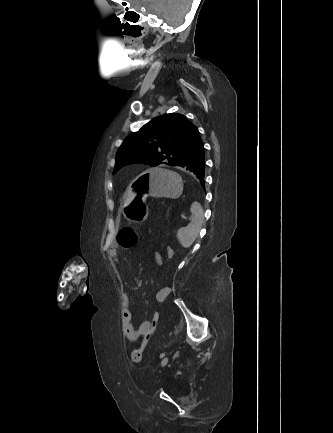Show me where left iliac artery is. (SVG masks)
Returning a JSON list of instances; mask_svg holds the SVG:
<instances>
[{
  "mask_svg": "<svg viewBox=\"0 0 333 433\" xmlns=\"http://www.w3.org/2000/svg\"><path fill=\"white\" fill-rule=\"evenodd\" d=\"M164 356V353H162L161 355H160V357L162 358Z\"/></svg>",
  "mask_w": 333,
  "mask_h": 433,
  "instance_id": "1",
  "label": "left iliac artery"
}]
</instances>
